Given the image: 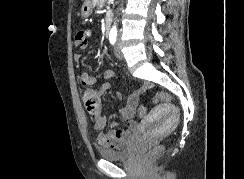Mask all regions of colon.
Wrapping results in <instances>:
<instances>
[{"label": "colon", "instance_id": "1", "mask_svg": "<svg viewBox=\"0 0 244 179\" xmlns=\"http://www.w3.org/2000/svg\"><path fill=\"white\" fill-rule=\"evenodd\" d=\"M82 101L86 108V111L91 114H98L99 113V101L97 98V93L92 89H85L82 91ZM155 100L156 101H172L173 97L170 96V93H155ZM150 104H137V109L139 111H133V116H138L139 119H146V114H142L144 109H150ZM162 147H153L152 150H148L145 153V158H152L155 152H162Z\"/></svg>", "mask_w": 244, "mask_h": 179}]
</instances>
